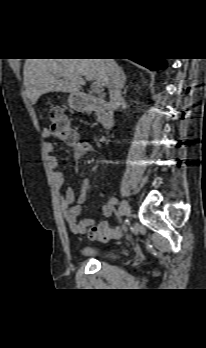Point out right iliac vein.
Instances as JSON below:
<instances>
[{"mask_svg": "<svg viewBox=\"0 0 206 348\" xmlns=\"http://www.w3.org/2000/svg\"><path fill=\"white\" fill-rule=\"evenodd\" d=\"M129 212V203L127 200H123L120 203L119 209H118V214L119 216H124Z\"/></svg>", "mask_w": 206, "mask_h": 348, "instance_id": "obj_1", "label": "right iliac vein"}]
</instances>
